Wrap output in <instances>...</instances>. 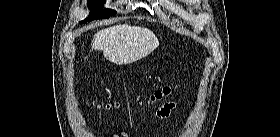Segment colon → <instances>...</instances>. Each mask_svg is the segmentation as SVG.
<instances>
[{
	"instance_id": "colon-1",
	"label": "colon",
	"mask_w": 280,
	"mask_h": 137,
	"mask_svg": "<svg viewBox=\"0 0 280 137\" xmlns=\"http://www.w3.org/2000/svg\"><path fill=\"white\" fill-rule=\"evenodd\" d=\"M171 87L170 86H163L161 88H158L155 92H153L148 98L147 102L149 103H158L162 101L164 98L168 97L171 94ZM101 108L105 109H116L120 107L119 102H109L100 105Z\"/></svg>"
}]
</instances>
